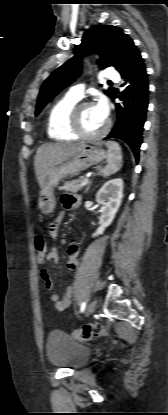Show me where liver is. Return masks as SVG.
I'll list each match as a JSON object with an SVG mask.
<instances>
[{"mask_svg": "<svg viewBox=\"0 0 168 415\" xmlns=\"http://www.w3.org/2000/svg\"><path fill=\"white\" fill-rule=\"evenodd\" d=\"M83 146V143H47L40 146L34 159L35 174L40 187H43L54 167L73 157Z\"/></svg>", "mask_w": 168, "mask_h": 415, "instance_id": "liver-1", "label": "liver"}]
</instances>
